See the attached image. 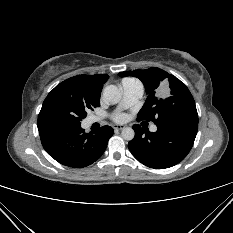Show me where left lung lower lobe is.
Masks as SVG:
<instances>
[{
  "label": "left lung lower lobe",
  "instance_id": "obj_1",
  "mask_svg": "<svg viewBox=\"0 0 233 233\" xmlns=\"http://www.w3.org/2000/svg\"><path fill=\"white\" fill-rule=\"evenodd\" d=\"M135 137L129 142L128 148L132 155L142 164L164 169L182 161L191 150L198 126L158 127L152 133L133 125Z\"/></svg>",
  "mask_w": 233,
  "mask_h": 233
}]
</instances>
